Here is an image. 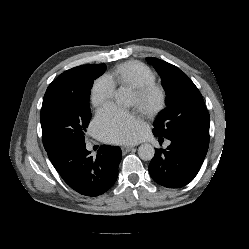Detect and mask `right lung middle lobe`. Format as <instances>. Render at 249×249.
Segmentation results:
<instances>
[{
  "instance_id": "1",
  "label": "right lung middle lobe",
  "mask_w": 249,
  "mask_h": 249,
  "mask_svg": "<svg viewBox=\"0 0 249 249\" xmlns=\"http://www.w3.org/2000/svg\"><path fill=\"white\" fill-rule=\"evenodd\" d=\"M106 68L105 64L78 66L66 79L49 85L50 96L43 100L40 116L46 151L64 144L84 143L91 119L90 90Z\"/></svg>"
}]
</instances>
